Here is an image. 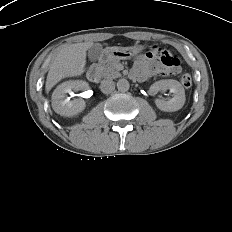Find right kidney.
I'll return each mask as SVG.
<instances>
[{
  "label": "right kidney",
  "instance_id": "right-kidney-1",
  "mask_svg": "<svg viewBox=\"0 0 232 232\" xmlns=\"http://www.w3.org/2000/svg\"><path fill=\"white\" fill-rule=\"evenodd\" d=\"M88 83L82 80H70L58 85L52 94V108L61 116L72 117L85 109V101L81 98L72 101L66 98V94L72 90H85Z\"/></svg>",
  "mask_w": 232,
  "mask_h": 232
}]
</instances>
